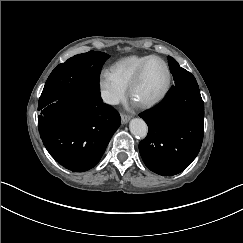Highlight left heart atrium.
Masks as SVG:
<instances>
[{
  "instance_id": "obj_1",
  "label": "left heart atrium",
  "mask_w": 243,
  "mask_h": 243,
  "mask_svg": "<svg viewBox=\"0 0 243 243\" xmlns=\"http://www.w3.org/2000/svg\"><path fill=\"white\" fill-rule=\"evenodd\" d=\"M138 105H139V103L136 100L132 99V101L130 103V107L131 108H136Z\"/></svg>"
}]
</instances>
